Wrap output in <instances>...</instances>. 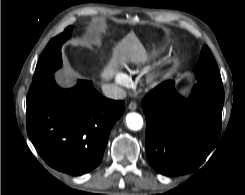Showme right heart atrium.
<instances>
[{
	"label": "right heart atrium",
	"instance_id": "d8ad5b80",
	"mask_svg": "<svg viewBox=\"0 0 245 195\" xmlns=\"http://www.w3.org/2000/svg\"><path fill=\"white\" fill-rule=\"evenodd\" d=\"M115 82L118 85L127 86L129 84V78L125 74L119 72L115 76Z\"/></svg>",
	"mask_w": 245,
	"mask_h": 195
}]
</instances>
